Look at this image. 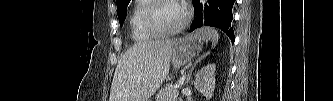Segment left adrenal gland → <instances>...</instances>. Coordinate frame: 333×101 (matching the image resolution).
Returning <instances> with one entry per match:
<instances>
[{
  "mask_svg": "<svg viewBox=\"0 0 333 101\" xmlns=\"http://www.w3.org/2000/svg\"><path fill=\"white\" fill-rule=\"evenodd\" d=\"M209 54H210V52L205 53L204 55H202L201 57H199V58L194 62V64L192 65V67L190 68V70H189V72H188V74H187L185 84H188V83H189L190 78H191V73H192V71L194 70L195 66H196L198 63H200L203 59H205Z\"/></svg>",
  "mask_w": 333,
  "mask_h": 101,
  "instance_id": "1",
  "label": "left adrenal gland"
}]
</instances>
